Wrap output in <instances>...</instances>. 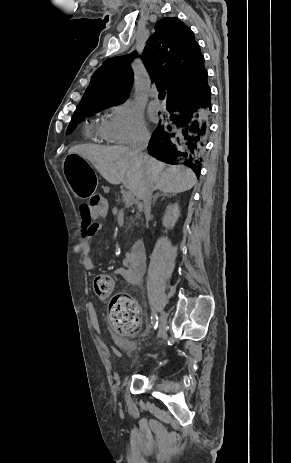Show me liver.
Listing matches in <instances>:
<instances>
[{
	"label": "liver",
	"mask_w": 291,
	"mask_h": 463,
	"mask_svg": "<svg viewBox=\"0 0 291 463\" xmlns=\"http://www.w3.org/2000/svg\"><path fill=\"white\" fill-rule=\"evenodd\" d=\"M68 153L89 160L105 180L113 185L123 183L137 199H142L147 177L151 179L153 189L173 194L188 191L197 182L191 169L169 166L148 155H145L146 161H141L124 146L76 145Z\"/></svg>",
	"instance_id": "6515ba94"
}]
</instances>
